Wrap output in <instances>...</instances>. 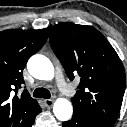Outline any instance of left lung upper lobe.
I'll return each mask as SVG.
<instances>
[{"mask_svg":"<svg viewBox=\"0 0 127 127\" xmlns=\"http://www.w3.org/2000/svg\"><path fill=\"white\" fill-rule=\"evenodd\" d=\"M50 44L68 77L81 76L79 91L71 100L74 112L112 126L119 114L125 72L116 51L94 27L70 22L49 28Z\"/></svg>","mask_w":127,"mask_h":127,"instance_id":"left-lung-upper-lobe-1","label":"left lung upper lobe"}]
</instances>
